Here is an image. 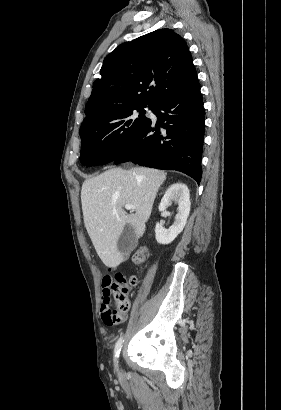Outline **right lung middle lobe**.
I'll return each mask as SVG.
<instances>
[{"label":"right lung middle lobe","instance_id":"dd1d6c3e","mask_svg":"<svg viewBox=\"0 0 281 410\" xmlns=\"http://www.w3.org/2000/svg\"><path fill=\"white\" fill-rule=\"evenodd\" d=\"M144 107L131 105L116 108L82 123L81 163L93 166L114 161L150 121L145 117ZM135 110L139 111V115Z\"/></svg>","mask_w":281,"mask_h":410}]
</instances>
